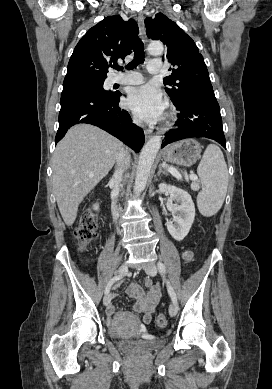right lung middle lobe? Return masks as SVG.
<instances>
[{
	"instance_id": "dd1d6c3e",
	"label": "right lung middle lobe",
	"mask_w": 272,
	"mask_h": 389,
	"mask_svg": "<svg viewBox=\"0 0 272 389\" xmlns=\"http://www.w3.org/2000/svg\"><path fill=\"white\" fill-rule=\"evenodd\" d=\"M104 81H91V82H84V83H78L74 85L69 86H63V90L67 89H84V90H91L96 91L103 94H112L111 91H106L103 89Z\"/></svg>"
}]
</instances>
